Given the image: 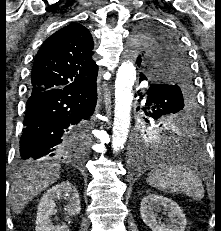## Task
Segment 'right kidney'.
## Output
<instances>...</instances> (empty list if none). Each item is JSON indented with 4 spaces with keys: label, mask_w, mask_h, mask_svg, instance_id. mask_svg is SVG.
<instances>
[{
    "label": "right kidney",
    "mask_w": 221,
    "mask_h": 231,
    "mask_svg": "<svg viewBox=\"0 0 221 231\" xmlns=\"http://www.w3.org/2000/svg\"><path fill=\"white\" fill-rule=\"evenodd\" d=\"M61 199L66 203L64 211L67 217L80 213L81 205L77 189L69 182L59 183L48 189L39 202L36 231H69L65 223L54 226L51 220L52 215L56 213V201Z\"/></svg>",
    "instance_id": "ca27d5eb"
}]
</instances>
